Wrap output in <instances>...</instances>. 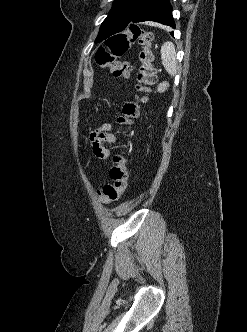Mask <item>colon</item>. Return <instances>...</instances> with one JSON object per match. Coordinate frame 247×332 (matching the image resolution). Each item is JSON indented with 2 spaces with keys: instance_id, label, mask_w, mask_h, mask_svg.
<instances>
[{
  "instance_id": "colon-1",
  "label": "colon",
  "mask_w": 247,
  "mask_h": 332,
  "mask_svg": "<svg viewBox=\"0 0 247 332\" xmlns=\"http://www.w3.org/2000/svg\"><path fill=\"white\" fill-rule=\"evenodd\" d=\"M133 42H138L141 46L139 54L141 66L135 84L136 94L132 100L124 103L122 112L117 117L119 132H124L138 118L142 105L148 100L150 86L155 81L156 75L151 49L152 34L137 25H131L126 31L111 37L107 41L106 48H100L95 55L97 64L108 68L115 77L129 78L132 74V67L117 58L122 56ZM127 165L128 159L123 153L118 152L114 155L113 166L109 172L112 182L97 191L102 202H116L125 192L128 186Z\"/></svg>"
}]
</instances>
